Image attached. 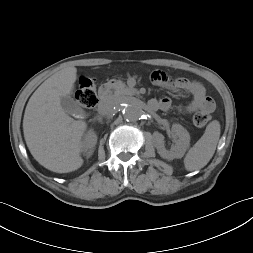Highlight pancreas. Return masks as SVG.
Returning <instances> with one entry per match:
<instances>
[{
	"label": "pancreas",
	"instance_id": "cf45deb5",
	"mask_svg": "<svg viewBox=\"0 0 253 253\" xmlns=\"http://www.w3.org/2000/svg\"><path fill=\"white\" fill-rule=\"evenodd\" d=\"M113 87H114V96L116 97L133 94V90L127 87L126 84L120 80L116 81Z\"/></svg>",
	"mask_w": 253,
	"mask_h": 253
}]
</instances>
